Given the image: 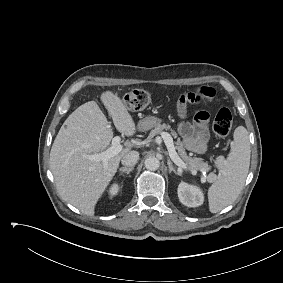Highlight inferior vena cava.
I'll return each instance as SVG.
<instances>
[{
	"mask_svg": "<svg viewBox=\"0 0 283 283\" xmlns=\"http://www.w3.org/2000/svg\"><path fill=\"white\" fill-rule=\"evenodd\" d=\"M138 160L139 153L137 151H130L122 157L121 162L126 167H133Z\"/></svg>",
	"mask_w": 283,
	"mask_h": 283,
	"instance_id": "602c4592",
	"label": "inferior vena cava"
}]
</instances>
